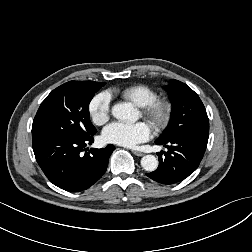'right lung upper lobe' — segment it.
<instances>
[{"mask_svg":"<svg viewBox=\"0 0 252 252\" xmlns=\"http://www.w3.org/2000/svg\"><path fill=\"white\" fill-rule=\"evenodd\" d=\"M82 83H85V84H89V85H97L99 84L98 82H93V81H80Z\"/></svg>","mask_w":252,"mask_h":252,"instance_id":"right-lung-upper-lobe-1","label":"right lung upper lobe"}]
</instances>
